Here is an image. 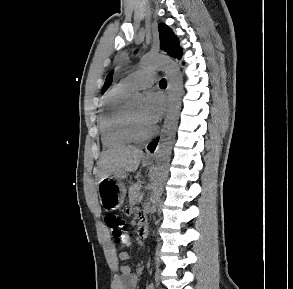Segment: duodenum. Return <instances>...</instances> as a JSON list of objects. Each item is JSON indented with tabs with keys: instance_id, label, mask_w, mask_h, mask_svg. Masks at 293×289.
Segmentation results:
<instances>
[{
	"instance_id": "1",
	"label": "duodenum",
	"mask_w": 293,
	"mask_h": 289,
	"mask_svg": "<svg viewBox=\"0 0 293 289\" xmlns=\"http://www.w3.org/2000/svg\"><path fill=\"white\" fill-rule=\"evenodd\" d=\"M148 234V222L146 218H141L139 224V235L142 237L147 236Z\"/></svg>"
}]
</instances>
